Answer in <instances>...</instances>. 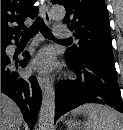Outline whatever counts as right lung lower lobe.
<instances>
[{"label": "right lung lower lobe", "instance_id": "1", "mask_svg": "<svg viewBox=\"0 0 123 130\" xmlns=\"http://www.w3.org/2000/svg\"><path fill=\"white\" fill-rule=\"evenodd\" d=\"M10 44L11 42L4 44L1 49V92L16 102L25 120L33 128L37 121L42 99L41 89L36 78H22L15 71V67L26 66V61L30 59V55L25 52L23 61L16 60L14 62L5 53L6 47Z\"/></svg>", "mask_w": 123, "mask_h": 130}]
</instances>
